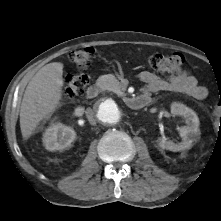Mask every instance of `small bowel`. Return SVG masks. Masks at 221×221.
Returning <instances> with one entry per match:
<instances>
[{
  "instance_id": "obj_1",
  "label": "small bowel",
  "mask_w": 221,
  "mask_h": 221,
  "mask_svg": "<svg viewBox=\"0 0 221 221\" xmlns=\"http://www.w3.org/2000/svg\"><path fill=\"white\" fill-rule=\"evenodd\" d=\"M145 84L144 94L170 91L187 94L197 100H204L208 96L206 87L200 85L189 71L184 70L176 75L163 80L149 71H143L139 75Z\"/></svg>"
}]
</instances>
